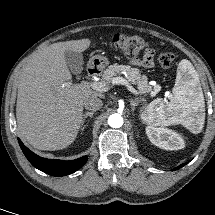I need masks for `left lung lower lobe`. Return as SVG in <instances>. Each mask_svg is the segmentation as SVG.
<instances>
[{
	"instance_id": "obj_1",
	"label": "left lung lower lobe",
	"mask_w": 215,
	"mask_h": 215,
	"mask_svg": "<svg viewBox=\"0 0 215 215\" xmlns=\"http://www.w3.org/2000/svg\"><path fill=\"white\" fill-rule=\"evenodd\" d=\"M185 165H186V163H184V164H182V165H179V166L176 167L174 170H178V169L182 168V167L185 166Z\"/></svg>"
}]
</instances>
